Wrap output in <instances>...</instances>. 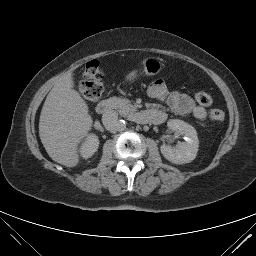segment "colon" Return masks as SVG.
I'll use <instances>...</instances> for the list:
<instances>
[{
    "instance_id": "colon-1",
    "label": "colon",
    "mask_w": 256,
    "mask_h": 256,
    "mask_svg": "<svg viewBox=\"0 0 256 256\" xmlns=\"http://www.w3.org/2000/svg\"><path fill=\"white\" fill-rule=\"evenodd\" d=\"M103 91V72L99 62L92 60L84 68L79 92L87 101H97L101 98ZM194 97L200 105L205 107L210 106L213 102L211 95L205 92H197ZM208 118L215 123H222L225 119V114L219 109H212L208 113Z\"/></svg>"
}]
</instances>
